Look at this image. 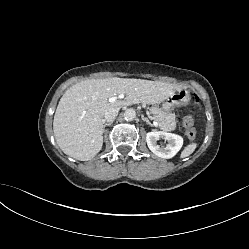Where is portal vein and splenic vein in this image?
<instances>
[{
	"mask_svg": "<svg viewBox=\"0 0 249 249\" xmlns=\"http://www.w3.org/2000/svg\"><path fill=\"white\" fill-rule=\"evenodd\" d=\"M123 97H124L123 94H120L118 97L113 96V97L109 98V102H110V103H114V102L117 100V98L121 99V98H123ZM153 124H154V126L158 127L157 121L154 120V121H153Z\"/></svg>",
	"mask_w": 249,
	"mask_h": 249,
	"instance_id": "obj_1",
	"label": "portal vein and splenic vein"
}]
</instances>
